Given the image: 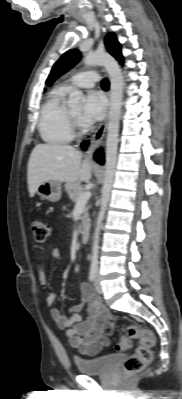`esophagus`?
Masks as SVG:
<instances>
[{
    "mask_svg": "<svg viewBox=\"0 0 182 399\" xmlns=\"http://www.w3.org/2000/svg\"><path fill=\"white\" fill-rule=\"evenodd\" d=\"M108 99L110 102V94H108ZM108 114H109V107L105 112L104 118L102 122L100 123L99 127L97 130L94 132L92 137L89 139V146L87 148V151L85 152V156L87 158H91L93 155V152L102 144L103 139L106 134L107 130V125H108Z\"/></svg>",
    "mask_w": 182,
    "mask_h": 399,
    "instance_id": "34e87169",
    "label": "esophagus"
}]
</instances>
